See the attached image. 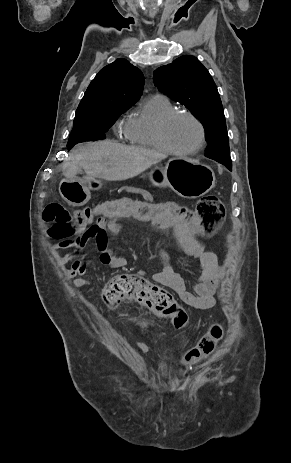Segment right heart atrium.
Returning a JSON list of instances; mask_svg holds the SVG:
<instances>
[{
    "label": "right heart atrium",
    "mask_w": 291,
    "mask_h": 463,
    "mask_svg": "<svg viewBox=\"0 0 291 463\" xmlns=\"http://www.w3.org/2000/svg\"><path fill=\"white\" fill-rule=\"evenodd\" d=\"M118 134L123 139H126L128 137V125H127V123L119 125Z\"/></svg>",
    "instance_id": "1"
}]
</instances>
